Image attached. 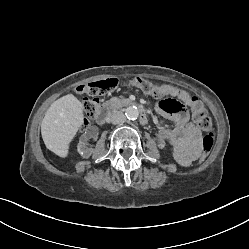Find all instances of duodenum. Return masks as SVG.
Listing matches in <instances>:
<instances>
[{
  "label": "duodenum",
  "instance_id": "1",
  "mask_svg": "<svg viewBox=\"0 0 249 249\" xmlns=\"http://www.w3.org/2000/svg\"><path fill=\"white\" fill-rule=\"evenodd\" d=\"M117 104H126L130 106H133V105L136 106L140 113L141 124L147 123L148 119H147V115H146V112L143 106L137 104L136 102H132L129 100L120 101V103H117ZM110 110H111V105H107V106L99 108L96 114V120L100 123L106 121V119L109 117Z\"/></svg>",
  "mask_w": 249,
  "mask_h": 249
}]
</instances>
